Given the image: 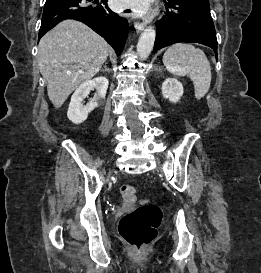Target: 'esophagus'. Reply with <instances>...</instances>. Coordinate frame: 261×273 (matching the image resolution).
I'll return each mask as SVG.
<instances>
[{
  "instance_id": "34e87169",
  "label": "esophagus",
  "mask_w": 261,
  "mask_h": 273,
  "mask_svg": "<svg viewBox=\"0 0 261 273\" xmlns=\"http://www.w3.org/2000/svg\"><path fill=\"white\" fill-rule=\"evenodd\" d=\"M146 24L145 23H140V22H136L134 24V27L136 29L137 32L142 31L145 28Z\"/></svg>"
}]
</instances>
